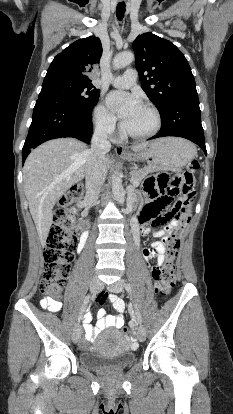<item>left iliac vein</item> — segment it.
<instances>
[{
    "label": "left iliac vein",
    "mask_w": 233,
    "mask_h": 414,
    "mask_svg": "<svg viewBox=\"0 0 233 414\" xmlns=\"http://www.w3.org/2000/svg\"><path fill=\"white\" fill-rule=\"evenodd\" d=\"M108 290L114 293H120L123 290V281L119 280L112 285L108 286ZM137 338L139 341L143 342L146 338V331L143 325H139L137 329Z\"/></svg>",
    "instance_id": "left-iliac-vein-1"
}]
</instances>
